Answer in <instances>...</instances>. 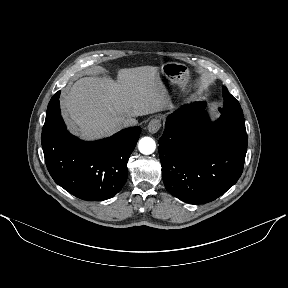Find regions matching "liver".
I'll list each match as a JSON object with an SVG mask.
<instances>
[{
  "label": "liver",
  "instance_id": "liver-1",
  "mask_svg": "<svg viewBox=\"0 0 288 288\" xmlns=\"http://www.w3.org/2000/svg\"><path fill=\"white\" fill-rule=\"evenodd\" d=\"M71 127L83 139L110 136L129 117L171 108L158 68L142 66L118 71L117 81L104 74L77 80L61 100Z\"/></svg>",
  "mask_w": 288,
  "mask_h": 288
}]
</instances>
